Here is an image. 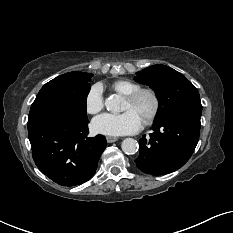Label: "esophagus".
Segmentation results:
<instances>
[{
    "mask_svg": "<svg viewBox=\"0 0 233 233\" xmlns=\"http://www.w3.org/2000/svg\"><path fill=\"white\" fill-rule=\"evenodd\" d=\"M106 140H107L108 143H113V142H116L118 140V138L117 137H112V136H107Z\"/></svg>",
    "mask_w": 233,
    "mask_h": 233,
    "instance_id": "34e87169",
    "label": "esophagus"
}]
</instances>
